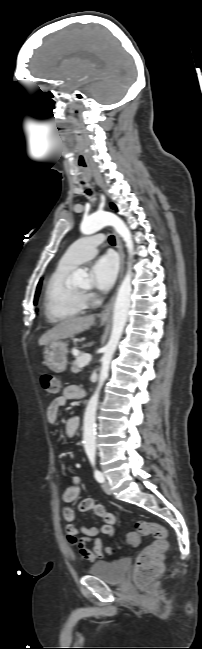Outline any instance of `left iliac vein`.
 Wrapping results in <instances>:
<instances>
[{
    "label": "left iliac vein",
    "instance_id": "4c4485c4",
    "mask_svg": "<svg viewBox=\"0 0 202 649\" xmlns=\"http://www.w3.org/2000/svg\"><path fill=\"white\" fill-rule=\"evenodd\" d=\"M102 489H103V491H104L107 495H111V494H112L111 487H110V485H109L108 482H103V484H102Z\"/></svg>",
    "mask_w": 202,
    "mask_h": 649
}]
</instances>
